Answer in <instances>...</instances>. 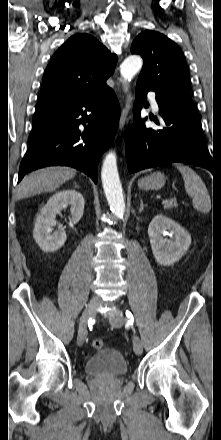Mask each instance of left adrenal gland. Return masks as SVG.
<instances>
[{"label":"left adrenal gland","mask_w":221,"mask_h":440,"mask_svg":"<svg viewBox=\"0 0 221 440\" xmlns=\"http://www.w3.org/2000/svg\"><path fill=\"white\" fill-rule=\"evenodd\" d=\"M146 205L143 203V200L142 199H140V208H139V213H141L143 210H144V207H145Z\"/></svg>","instance_id":"left-adrenal-gland-1"}]
</instances>
